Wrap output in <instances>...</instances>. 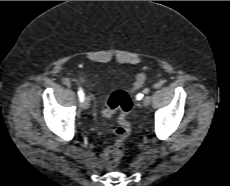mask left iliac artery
<instances>
[{
  "instance_id": "left-iliac-artery-1",
  "label": "left iliac artery",
  "mask_w": 230,
  "mask_h": 186,
  "mask_svg": "<svg viewBox=\"0 0 230 186\" xmlns=\"http://www.w3.org/2000/svg\"><path fill=\"white\" fill-rule=\"evenodd\" d=\"M142 98H143V94L142 93L137 94V96H136L137 100H141Z\"/></svg>"
}]
</instances>
